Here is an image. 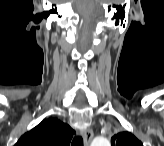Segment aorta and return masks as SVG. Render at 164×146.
I'll use <instances>...</instances> for the list:
<instances>
[{
    "instance_id": "aorta-1",
    "label": "aorta",
    "mask_w": 164,
    "mask_h": 146,
    "mask_svg": "<svg viewBox=\"0 0 164 146\" xmlns=\"http://www.w3.org/2000/svg\"><path fill=\"white\" fill-rule=\"evenodd\" d=\"M92 146H109L110 142L108 139L103 137H97L92 141Z\"/></svg>"
}]
</instances>
